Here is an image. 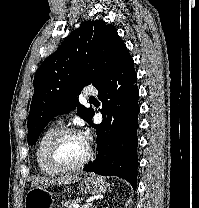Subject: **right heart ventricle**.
Listing matches in <instances>:
<instances>
[{
	"instance_id": "obj_1",
	"label": "right heart ventricle",
	"mask_w": 199,
	"mask_h": 208,
	"mask_svg": "<svg viewBox=\"0 0 199 208\" xmlns=\"http://www.w3.org/2000/svg\"><path fill=\"white\" fill-rule=\"evenodd\" d=\"M61 129V123H53L43 131L38 140L35 157L37 165L44 175L53 176L60 173L49 164L47 159V147L53 136Z\"/></svg>"
}]
</instances>
